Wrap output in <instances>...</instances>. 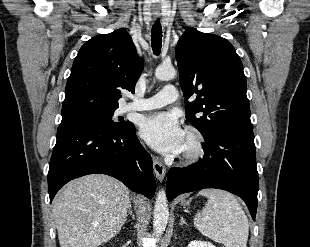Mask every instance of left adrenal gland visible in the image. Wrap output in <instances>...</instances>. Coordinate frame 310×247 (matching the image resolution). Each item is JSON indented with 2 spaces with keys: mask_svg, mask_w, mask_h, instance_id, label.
Here are the masks:
<instances>
[{
  "mask_svg": "<svg viewBox=\"0 0 310 247\" xmlns=\"http://www.w3.org/2000/svg\"><path fill=\"white\" fill-rule=\"evenodd\" d=\"M180 224H186V221L183 219V217L180 219Z\"/></svg>",
  "mask_w": 310,
  "mask_h": 247,
  "instance_id": "left-adrenal-gland-1",
  "label": "left adrenal gland"
}]
</instances>
